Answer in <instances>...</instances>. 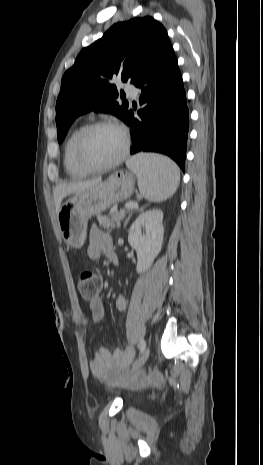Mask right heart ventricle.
<instances>
[{"mask_svg": "<svg viewBox=\"0 0 263 465\" xmlns=\"http://www.w3.org/2000/svg\"><path fill=\"white\" fill-rule=\"evenodd\" d=\"M81 128L82 126H78L71 131L63 149V164L65 170L70 177L75 179L84 178L90 173L77 163L74 155L75 140Z\"/></svg>", "mask_w": 263, "mask_h": 465, "instance_id": "right-heart-ventricle-1", "label": "right heart ventricle"}]
</instances>
